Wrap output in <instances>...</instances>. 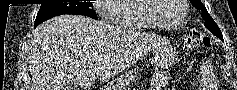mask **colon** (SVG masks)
<instances>
[{
  "mask_svg": "<svg viewBox=\"0 0 237 90\" xmlns=\"http://www.w3.org/2000/svg\"><path fill=\"white\" fill-rule=\"evenodd\" d=\"M185 44L189 48H193L195 46L208 47L211 45V39L206 34L200 31H195L186 38Z\"/></svg>",
  "mask_w": 237,
  "mask_h": 90,
  "instance_id": "colon-1",
  "label": "colon"
}]
</instances>
